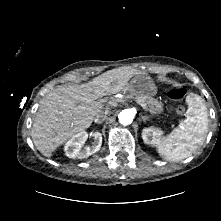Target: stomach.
Segmentation results:
<instances>
[{
    "mask_svg": "<svg viewBox=\"0 0 221 221\" xmlns=\"http://www.w3.org/2000/svg\"><path fill=\"white\" fill-rule=\"evenodd\" d=\"M132 94L140 95L147 101H154L159 96L158 87L146 76L136 77L130 84Z\"/></svg>",
    "mask_w": 221,
    "mask_h": 221,
    "instance_id": "0dacf381",
    "label": "stomach"
}]
</instances>
